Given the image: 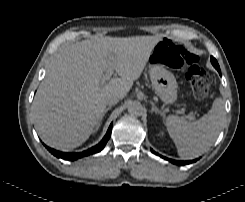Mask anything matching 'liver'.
I'll return each mask as SVG.
<instances>
[{"label": "liver", "instance_id": "obj_1", "mask_svg": "<svg viewBox=\"0 0 245 202\" xmlns=\"http://www.w3.org/2000/svg\"><path fill=\"white\" fill-rule=\"evenodd\" d=\"M159 40L156 36L93 37L60 48L32 107L42 141L62 151L83 144L99 123L107 95L128 94ZM111 61L120 78L102 84Z\"/></svg>", "mask_w": 245, "mask_h": 202}]
</instances>
